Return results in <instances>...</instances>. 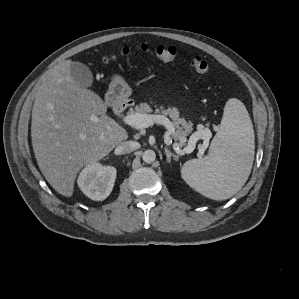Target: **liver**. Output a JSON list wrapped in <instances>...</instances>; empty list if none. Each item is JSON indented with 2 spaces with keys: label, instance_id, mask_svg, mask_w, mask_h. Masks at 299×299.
I'll return each mask as SVG.
<instances>
[{
  "label": "liver",
  "instance_id": "obj_1",
  "mask_svg": "<svg viewBox=\"0 0 299 299\" xmlns=\"http://www.w3.org/2000/svg\"><path fill=\"white\" fill-rule=\"evenodd\" d=\"M71 60L49 71L32 109L31 137L37 164L47 182L65 197L74 192L82 167L108 155L128 138L106 115L107 105L70 74Z\"/></svg>",
  "mask_w": 299,
  "mask_h": 299
}]
</instances>
